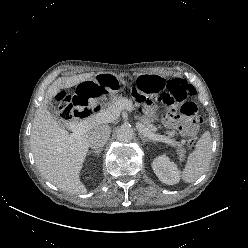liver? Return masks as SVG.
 Segmentation results:
<instances>
[{"instance_id": "obj_1", "label": "liver", "mask_w": 248, "mask_h": 248, "mask_svg": "<svg viewBox=\"0 0 248 248\" xmlns=\"http://www.w3.org/2000/svg\"><path fill=\"white\" fill-rule=\"evenodd\" d=\"M93 72L71 77H62L52 83L45 93L42 104L36 111L32 124L30 143L35 164L41 175L56 187L71 194H85L86 187L80 181V171L86 158L88 138L100 124L73 136L49 113L46 104L63 89L86 81Z\"/></svg>"}]
</instances>
